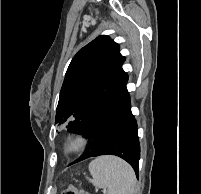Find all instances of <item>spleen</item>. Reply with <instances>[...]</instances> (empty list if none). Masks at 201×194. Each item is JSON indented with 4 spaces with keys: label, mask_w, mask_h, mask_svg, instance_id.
I'll return each mask as SVG.
<instances>
[{
    "label": "spleen",
    "mask_w": 201,
    "mask_h": 194,
    "mask_svg": "<svg viewBox=\"0 0 201 194\" xmlns=\"http://www.w3.org/2000/svg\"><path fill=\"white\" fill-rule=\"evenodd\" d=\"M90 182L99 188L107 189V194H134L136 177L132 167L112 155L100 156L91 161Z\"/></svg>",
    "instance_id": "spleen-1"
}]
</instances>
